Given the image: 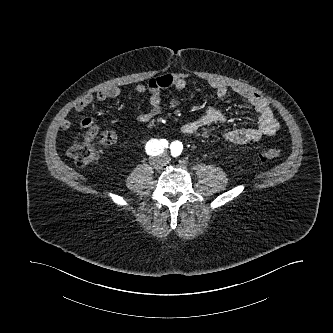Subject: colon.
I'll return each instance as SVG.
<instances>
[{
  "instance_id": "obj_1",
  "label": "colon",
  "mask_w": 333,
  "mask_h": 333,
  "mask_svg": "<svg viewBox=\"0 0 333 333\" xmlns=\"http://www.w3.org/2000/svg\"><path fill=\"white\" fill-rule=\"evenodd\" d=\"M114 134L110 131L95 129L85 135L82 141L73 143L68 153L81 167L89 166L99 159V145H108L114 141ZM280 149H266L259 154L262 161L277 159L281 156Z\"/></svg>"
}]
</instances>
